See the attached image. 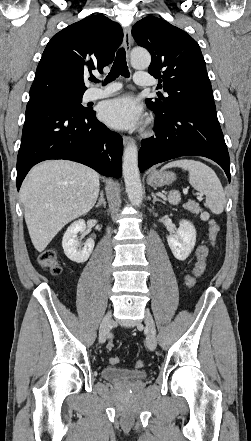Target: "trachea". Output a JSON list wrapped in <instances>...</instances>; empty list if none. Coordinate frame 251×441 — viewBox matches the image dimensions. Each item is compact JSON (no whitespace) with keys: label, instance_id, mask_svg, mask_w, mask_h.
Returning a JSON list of instances; mask_svg holds the SVG:
<instances>
[{"label":"trachea","instance_id":"obj_1","mask_svg":"<svg viewBox=\"0 0 251 441\" xmlns=\"http://www.w3.org/2000/svg\"><path fill=\"white\" fill-rule=\"evenodd\" d=\"M119 75L126 78L129 77V70L126 62V53L124 48H120L118 50L111 71L105 79V83H109L115 80ZM91 81L98 82L96 78H92Z\"/></svg>","mask_w":251,"mask_h":441}]
</instances>
